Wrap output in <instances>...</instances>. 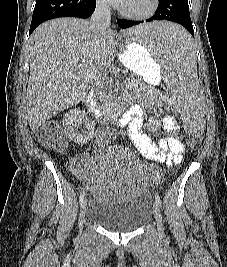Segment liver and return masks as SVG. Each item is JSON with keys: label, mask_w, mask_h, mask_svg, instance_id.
<instances>
[{"label": "liver", "mask_w": 227, "mask_h": 267, "mask_svg": "<svg viewBox=\"0 0 227 267\" xmlns=\"http://www.w3.org/2000/svg\"><path fill=\"white\" fill-rule=\"evenodd\" d=\"M90 22L59 18L41 24L28 46L30 77L27 116L36 131L52 116L81 102L98 75H105L116 55L114 34L97 36ZM132 29L124 31L132 33Z\"/></svg>", "instance_id": "liver-1"}]
</instances>
